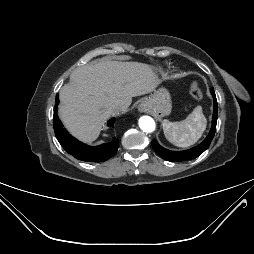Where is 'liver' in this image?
<instances>
[{"label": "liver", "instance_id": "6515ba94", "mask_svg": "<svg viewBox=\"0 0 254 254\" xmlns=\"http://www.w3.org/2000/svg\"><path fill=\"white\" fill-rule=\"evenodd\" d=\"M159 79L152 66L138 62L101 61L76 68L60 91L59 116L69 130L84 142L94 141L106 120L127 108L132 97L155 90Z\"/></svg>", "mask_w": 254, "mask_h": 254}]
</instances>
